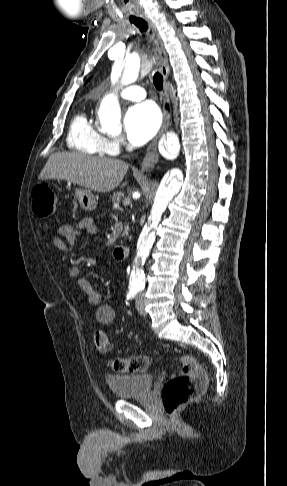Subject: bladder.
I'll return each instance as SVG.
<instances>
[{
	"label": "bladder",
	"instance_id": "1",
	"mask_svg": "<svg viewBox=\"0 0 287 486\" xmlns=\"http://www.w3.org/2000/svg\"><path fill=\"white\" fill-rule=\"evenodd\" d=\"M152 374L111 375L106 378V383L119 399H129L147 395L153 386Z\"/></svg>",
	"mask_w": 287,
	"mask_h": 486
}]
</instances>
